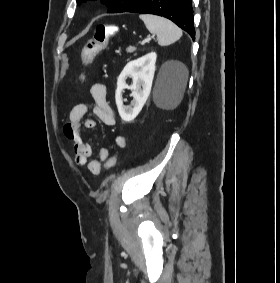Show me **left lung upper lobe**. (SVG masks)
<instances>
[{"label":"left lung upper lobe","mask_w":280,"mask_h":283,"mask_svg":"<svg viewBox=\"0 0 280 283\" xmlns=\"http://www.w3.org/2000/svg\"><path fill=\"white\" fill-rule=\"evenodd\" d=\"M139 1L140 0H101L102 3L109 6L108 13L125 12ZM81 2L82 0H77L78 5Z\"/></svg>","instance_id":"obj_1"}]
</instances>
